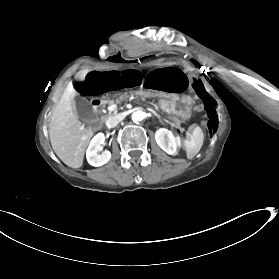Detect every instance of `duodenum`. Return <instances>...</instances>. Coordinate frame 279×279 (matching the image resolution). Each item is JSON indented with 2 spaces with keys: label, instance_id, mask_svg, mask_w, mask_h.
<instances>
[{
  "label": "duodenum",
  "instance_id": "1",
  "mask_svg": "<svg viewBox=\"0 0 279 279\" xmlns=\"http://www.w3.org/2000/svg\"><path fill=\"white\" fill-rule=\"evenodd\" d=\"M134 95L136 97H143V98H151L154 99L156 97V94L154 92H150V91H141V90H136L134 92ZM89 104L90 107L92 109V111L99 113L101 111H103L105 104L103 102V100L98 96V95H91L89 97Z\"/></svg>",
  "mask_w": 279,
  "mask_h": 279
}]
</instances>
